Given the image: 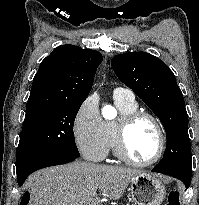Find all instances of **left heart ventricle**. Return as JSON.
I'll return each mask as SVG.
<instances>
[{"mask_svg":"<svg viewBox=\"0 0 199 205\" xmlns=\"http://www.w3.org/2000/svg\"><path fill=\"white\" fill-rule=\"evenodd\" d=\"M159 136L156 127L148 119L136 121L127 131L126 149L140 162L153 158L158 150Z\"/></svg>","mask_w":199,"mask_h":205,"instance_id":"left-heart-ventricle-1","label":"left heart ventricle"}]
</instances>
